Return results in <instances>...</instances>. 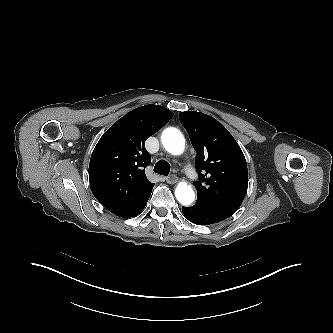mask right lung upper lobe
Wrapping results in <instances>:
<instances>
[{"label": "right lung upper lobe", "mask_w": 333, "mask_h": 333, "mask_svg": "<svg viewBox=\"0 0 333 333\" xmlns=\"http://www.w3.org/2000/svg\"><path fill=\"white\" fill-rule=\"evenodd\" d=\"M173 113L159 105L128 112L100 138L89 164L95 198L113 214L127 218L150 197L154 184L145 175L151 157L145 141L162 128Z\"/></svg>", "instance_id": "1"}]
</instances>
